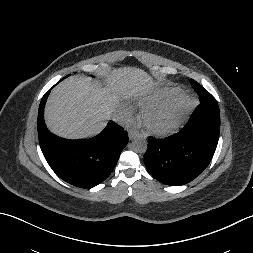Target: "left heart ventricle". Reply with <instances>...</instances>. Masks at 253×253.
I'll return each mask as SVG.
<instances>
[{"instance_id":"left-heart-ventricle-1","label":"left heart ventricle","mask_w":253,"mask_h":253,"mask_svg":"<svg viewBox=\"0 0 253 253\" xmlns=\"http://www.w3.org/2000/svg\"><path fill=\"white\" fill-rule=\"evenodd\" d=\"M174 116H175L174 110L166 109L153 114L150 117L149 122L155 127L163 128L171 124V122L174 119Z\"/></svg>"}]
</instances>
